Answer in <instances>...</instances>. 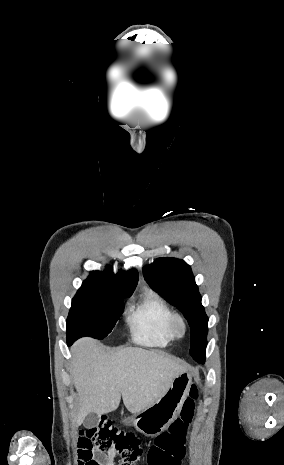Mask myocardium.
I'll list each match as a JSON object with an SVG mask.
<instances>
[{
	"instance_id": "myocardium-1",
	"label": "myocardium",
	"mask_w": 284,
	"mask_h": 465,
	"mask_svg": "<svg viewBox=\"0 0 284 465\" xmlns=\"http://www.w3.org/2000/svg\"><path fill=\"white\" fill-rule=\"evenodd\" d=\"M178 327H181L182 329L181 333H179ZM169 331H170L171 336L174 339L176 340L183 339L186 336L187 331H188V325H187V321L185 317L180 314H174V316L172 317L170 321Z\"/></svg>"
}]
</instances>
